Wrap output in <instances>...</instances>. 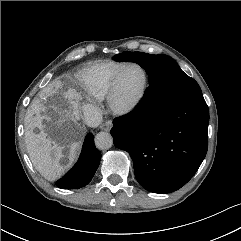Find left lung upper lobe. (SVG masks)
I'll return each instance as SVG.
<instances>
[{"mask_svg": "<svg viewBox=\"0 0 241 241\" xmlns=\"http://www.w3.org/2000/svg\"><path fill=\"white\" fill-rule=\"evenodd\" d=\"M116 61L136 62L149 75V85L159 82L172 100H180L201 93L198 83L185 74L175 60L166 55H151L141 52H123L113 57Z\"/></svg>", "mask_w": 241, "mask_h": 241, "instance_id": "5c2ea615", "label": "left lung upper lobe"}]
</instances>
